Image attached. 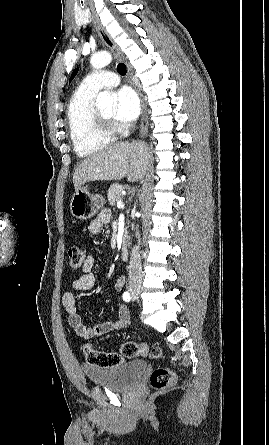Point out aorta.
<instances>
[{"instance_id": "aorta-1", "label": "aorta", "mask_w": 269, "mask_h": 445, "mask_svg": "<svg viewBox=\"0 0 269 445\" xmlns=\"http://www.w3.org/2000/svg\"><path fill=\"white\" fill-rule=\"evenodd\" d=\"M112 56L108 52L96 53L91 57L90 63L96 68H103L110 64ZM116 106V97L108 92H100L96 99L98 109H112Z\"/></svg>"}]
</instances>
